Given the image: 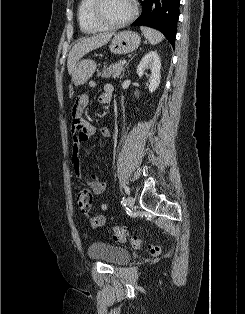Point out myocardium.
Wrapping results in <instances>:
<instances>
[{
    "mask_svg": "<svg viewBox=\"0 0 245 314\" xmlns=\"http://www.w3.org/2000/svg\"><path fill=\"white\" fill-rule=\"evenodd\" d=\"M102 3L103 0H94V4L92 7V16L94 20L105 29H118L125 27L130 24L138 15V5L136 3V0H131L132 12L125 20L116 23L108 22L101 15Z\"/></svg>",
    "mask_w": 245,
    "mask_h": 314,
    "instance_id": "myocardium-1",
    "label": "myocardium"
}]
</instances>
